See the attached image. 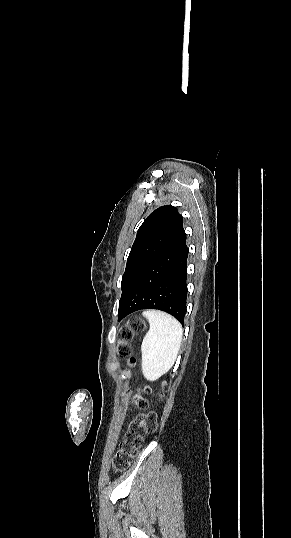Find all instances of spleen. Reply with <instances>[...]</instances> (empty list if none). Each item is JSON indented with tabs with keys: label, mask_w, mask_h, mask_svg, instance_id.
<instances>
[{
	"label": "spleen",
	"mask_w": 291,
	"mask_h": 538,
	"mask_svg": "<svg viewBox=\"0 0 291 538\" xmlns=\"http://www.w3.org/2000/svg\"><path fill=\"white\" fill-rule=\"evenodd\" d=\"M144 315L150 328L141 345L142 371L146 379L154 381L173 366L181 346L183 328L165 312L147 310Z\"/></svg>",
	"instance_id": "3e777b00"
}]
</instances>
